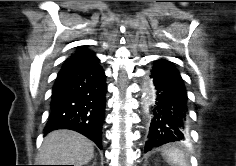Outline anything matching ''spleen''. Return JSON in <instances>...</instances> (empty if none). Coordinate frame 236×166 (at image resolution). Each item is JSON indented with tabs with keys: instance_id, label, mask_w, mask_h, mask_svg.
<instances>
[{
	"instance_id": "3e777b00",
	"label": "spleen",
	"mask_w": 236,
	"mask_h": 166,
	"mask_svg": "<svg viewBox=\"0 0 236 166\" xmlns=\"http://www.w3.org/2000/svg\"><path fill=\"white\" fill-rule=\"evenodd\" d=\"M168 161L178 166H189L185 153L178 148H170L165 151Z\"/></svg>"
}]
</instances>
